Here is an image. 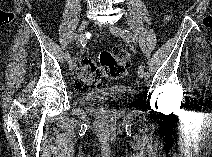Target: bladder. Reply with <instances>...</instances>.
Segmentation results:
<instances>
[{
  "label": "bladder",
  "instance_id": "31cf9c89",
  "mask_svg": "<svg viewBox=\"0 0 212 157\" xmlns=\"http://www.w3.org/2000/svg\"><path fill=\"white\" fill-rule=\"evenodd\" d=\"M138 92L133 87L109 86L100 89L81 91L78 103L87 112L107 121L120 119L133 104Z\"/></svg>",
  "mask_w": 212,
  "mask_h": 157
}]
</instances>
